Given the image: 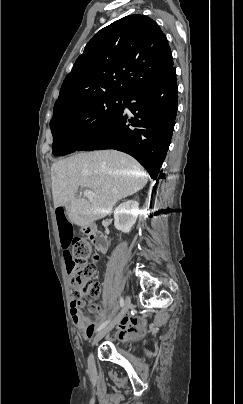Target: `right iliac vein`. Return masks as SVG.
I'll use <instances>...</instances> for the list:
<instances>
[{"mask_svg": "<svg viewBox=\"0 0 243 404\" xmlns=\"http://www.w3.org/2000/svg\"><path fill=\"white\" fill-rule=\"evenodd\" d=\"M131 304L130 297L127 296L125 303L123 305V308L119 312V314L114 318V320L109 323L105 328H103L94 338L92 342V346H94L96 343H98L107 333H109L115 325L122 319V317L126 314L128 311L129 307ZM88 369L89 371H93L95 369V360H94V355L92 352H90L88 356Z\"/></svg>", "mask_w": 243, "mask_h": 404, "instance_id": "1", "label": "right iliac vein"}]
</instances>
